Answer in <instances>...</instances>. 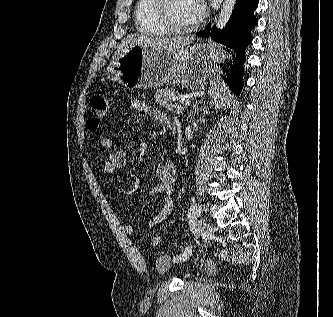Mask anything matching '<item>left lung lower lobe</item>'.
<instances>
[{
	"label": "left lung lower lobe",
	"instance_id": "1",
	"mask_svg": "<svg viewBox=\"0 0 333 317\" xmlns=\"http://www.w3.org/2000/svg\"><path fill=\"white\" fill-rule=\"evenodd\" d=\"M258 0H237L226 26L220 30L209 23L197 36L208 38L229 47L232 58L222 65L225 69L224 80L236 95L243 88V65L246 61L245 49L252 41L251 30L258 24L254 11Z\"/></svg>",
	"mask_w": 333,
	"mask_h": 317
}]
</instances>
